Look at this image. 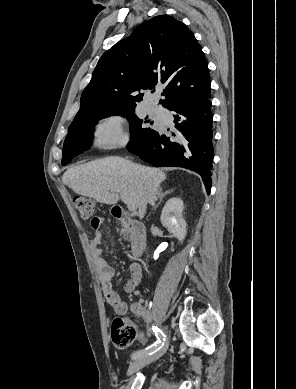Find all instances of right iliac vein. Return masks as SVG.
Returning <instances> with one entry per match:
<instances>
[{
	"label": "right iliac vein",
	"mask_w": 296,
	"mask_h": 389,
	"mask_svg": "<svg viewBox=\"0 0 296 389\" xmlns=\"http://www.w3.org/2000/svg\"><path fill=\"white\" fill-rule=\"evenodd\" d=\"M168 342L158 351L154 352L151 355L142 356L139 358H136L133 363L129 366V369L127 371L128 375H131L141 369L142 367L152 363L153 361L160 358L167 350Z\"/></svg>",
	"instance_id": "63e3f726"
}]
</instances>
